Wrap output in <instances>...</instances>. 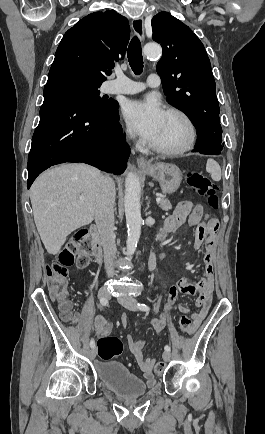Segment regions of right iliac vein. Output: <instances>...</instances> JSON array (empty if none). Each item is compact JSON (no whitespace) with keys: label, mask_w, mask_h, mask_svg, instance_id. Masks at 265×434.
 <instances>
[{"label":"right iliac vein","mask_w":265,"mask_h":434,"mask_svg":"<svg viewBox=\"0 0 265 434\" xmlns=\"http://www.w3.org/2000/svg\"><path fill=\"white\" fill-rule=\"evenodd\" d=\"M98 297L101 298V299L105 298V299L108 300L109 299V292L107 291L106 288H101L99 290V292H98ZM96 354H97V349L96 348H92L89 351V353H88L89 357L92 358V359H94L96 357Z\"/></svg>","instance_id":"right-iliac-vein-1"}]
</instances>
